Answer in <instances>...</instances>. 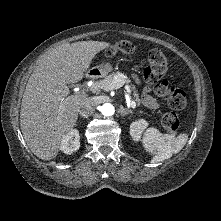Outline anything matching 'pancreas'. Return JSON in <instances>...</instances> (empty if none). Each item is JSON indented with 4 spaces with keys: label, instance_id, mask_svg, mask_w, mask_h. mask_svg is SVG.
Here are the masks:
<instances>
[{
    "label": "pancreas",
    "instance_id": "pancreas-1",
    "mask_svg": "<svg viewBox=\"0 0 221 221\" xmlns=\"http://www.w3.org/2000/svg\"><path fill=\"white\" fill-rule=\"evenodd\" d=\"M116 78L119 80V82L122 85L127 84V86L132 89L133 98L137 102V105L139 106L141 104V100L139 98V93H138L135 85L131 84V81L129 79H127V77L124 74H122L120 72L112 73V74L108 75L107 77H105V79L95 82L92 86V90H94L95 92H98L101 89L109 90V86L113 84V82L116 80Z\"/></svg>",
    "mask_w": 221,
    "mask_h": 221
}]
</instances>
